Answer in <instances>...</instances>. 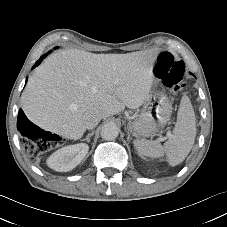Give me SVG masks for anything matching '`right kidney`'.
<instances>
[{"mask_svg":"<svg viewBox=\"0 0 227 227\" xmlns=\"http://www.w3.org/2000/svg\"><path fill=\"white\" fill-rule=\"evenodd\" d=\"M89 147L85 143L65 146L55 151L48 159V166L58 172L74 169L86 156Z\"/></svg>","mask_w":227,"mask_h":227,"instance_id":"right-kidney-1","label":"right kidney"}]
</instances>
